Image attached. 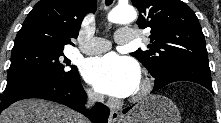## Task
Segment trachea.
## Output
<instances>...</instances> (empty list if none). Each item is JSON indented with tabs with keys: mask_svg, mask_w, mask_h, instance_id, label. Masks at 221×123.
I'll use <instances>...</instances> for the list:
<instances>
[{
	"mask_svg": "<svg viewBox=\"0 0 221 123\" xmlns=\"http://www.w3.org/2000/svg\"><path fill=\"white\" fill-rule=\"evenodd\" d=\"M112 2L113 0H106V5L109 6Z\"/></svg>",
	"mask_w": 221,
	"mask_h": 123,
	"instance_id": "trachea-1",
	"label": "trachea"
}]
</instances>
